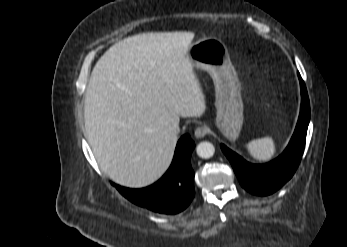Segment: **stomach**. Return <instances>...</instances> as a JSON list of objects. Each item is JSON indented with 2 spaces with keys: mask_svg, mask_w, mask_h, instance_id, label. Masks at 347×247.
Returning a JSON list of instances; mask_svg holds the SVG:
<instances>
[{
  "mask_svg": "<svg viewBox=\"0 0 347 247\" xmlns=\"http://www.w3.org/2000/svg\"><path fill=\"white\" fill-rule=\"evenodd\" d=\"M187 57L193 67L207 71L215 87L216 125L230 141H235L243 124L241 87L225 44L217 38H202L191 44Z\"/></svg>",
  "mask_w": 347,
  "mask_h": 247,
  "instance_id": "0dacf381",
  "label": "stomach"
}]
</instances>
